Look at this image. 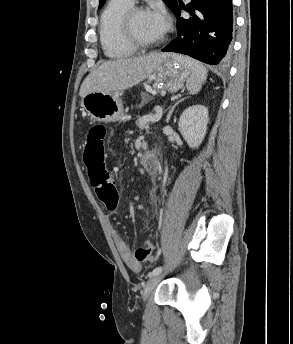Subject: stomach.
<instances>
[{
	"label": "stomach",
	"mask_w": 293,
	"mask_h": 344,
	"mask_svg": "<svg viewBox=\"0 0 293 344\" xmlns=\"http://www.w3.org/2000/svg\"><path fill=\"white\" fill-rule=\"evenodd\" d=\"M192 72L176 56L164 59L149 75L154 88L175 92L184 86ZM120 92H92L82 98V107L90 118L97 122H116L123 118V105Z\"/></svg>",
	"instance_id": "1"
}]
</instances>
